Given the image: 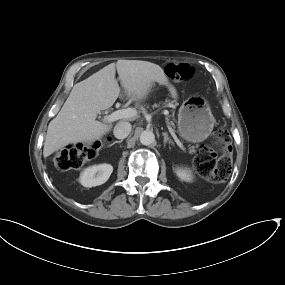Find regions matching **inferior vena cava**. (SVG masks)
I'll return each instance as SVG.
<instances>
[{"instance_id":"obj_1","label":"inferior vena cava","mask_w":285,"mask_h":285,"mask_svg":"<svg viewBox=\"0 0 285 285\" xmlns=\"http://www.w3.org/2000/svg\"><path fill=\"white\" fill-rule=\"evenodd\" d=\"M132 130V126L129 122H119L114 127L113 134L118 139L126 138Z\"/></svg>"}]
</instances>
